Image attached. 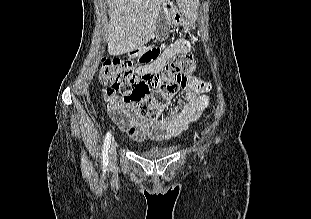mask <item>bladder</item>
Returning a JSON list of instances; mask_svg holds the SVG:
<instances>
[{
    "instance_id": "obj_1",
    "label": "bladder",
    "mask_w": 311,
    "mask_h": 219,
    "mask_svg": "<svg viewBox=\"0 0 311 219\" xmlns=\"http://www.w3.org/2000/svg\"><path fill=\"white\" fill-rule=\"evenodd\" d=\"M176 147L174 146H154L143 152V156L150 159H158L166 157L174 153Z\"/></svg>"
}]
</instances>
